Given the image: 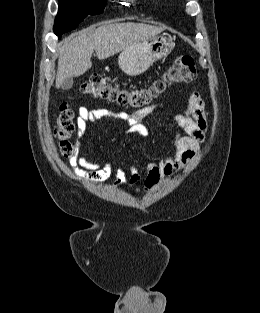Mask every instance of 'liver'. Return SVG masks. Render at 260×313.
Instances as JSON below:
<instances>
[{"instance_id": "obj_1", "label": "liver", "mask_w": 260, "mask_h": 313, "mask_svg": "<svg viewBox=\"0 0 260 313\" xmlns=\"http://www.w3.org/2000/svg\"><path fill=\"white\" fill-rule=\"evenodd\" d=\"M165 28L143 23H105L98 28L88 27L63 41L59 51L56 88L64 79L83 75L92 67L96 51L99 60L109 58L139 41L153 38Z\"/></svg>"}]
</instances>
